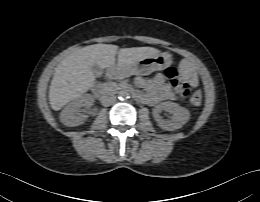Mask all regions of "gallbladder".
<instances>
[{
	"instance_id": "bac80fb5",
	"label": "gallbladder",
	"mask_w": 260,
	"mask_h": 202,
	"mask_svg": "<svg viewBox=\"0 0 260 202\" xmlns=\"http://www.w3.org/2000/svg\"><path fill=\"white\" fill-rule=\"evenodd\" d=\"M91 71L95 77H100L103 74V69L97 64L92 65Z\"/></svg>"
}]
</instances>
